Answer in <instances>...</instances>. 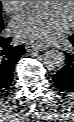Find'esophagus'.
<instances>
[{
    "label": "esophagus",
    "instance_id": "34e87169",
    "mask_svg": "<svg viewBox=\"0 0 74 122\" xmlns=\"http://www.w3.org/2000/svg\"><path fill=\"white\" fill-rule=\"evenodd\" d=\"M25 48L29 53H37L47 50V47L42 45H27Z\"/></svg>",
    "mask_w": 74,
    "mask_h": 122
}]
</instances>
